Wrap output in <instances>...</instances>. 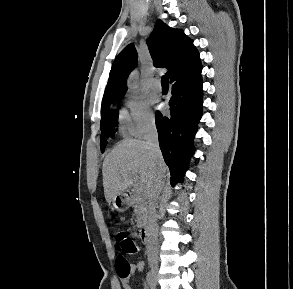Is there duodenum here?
Returning a JSON list of instances; mask_svg holds the SVG:
<instances>
[{"label": "duodenum", "mask_w": 293, "mask_h": 289, "mask_svg": "<svg viewBox=\"0 0 293 289\" xmlns=\"http://www.w3.org/2000/svg\"><path fill=\"white\" fill-rule=\"evenodd\" d=\"M130 196V194L128 195V197ZM152 234H153V225L152 223L148 222L146 224H144L141 229H140V235H141V239L143 241L144 244H149L151 239H152Z\"/></svg>", "instance_id": "1"}]
</instances>
